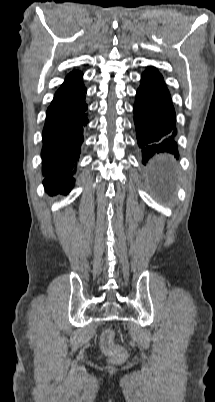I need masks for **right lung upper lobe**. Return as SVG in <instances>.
Instances as JSON below:
<instances>
[{"label":"right lung upper lobe","instance_id":"obj_1","mask_svg":"<svg viewBox=\"0 0 215 402\" xmlns=\"http://www.w3.org/2000/svg\"><path fill=\"white\" fill-rule=\"evenodd\" d=\"M81 78H82V72H80L79 70H73L66 76L64 83L58 90L65 89L67 87L74 85Z\"/></svg>","mask_w":215,"mask_h":402}]
</instances>
